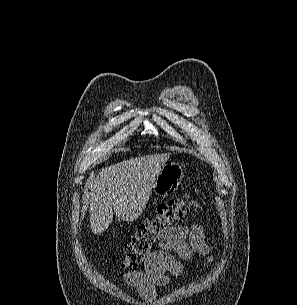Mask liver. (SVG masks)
<instances>
[{"instance_id": "1", "label": "liver", "mask_w": 297, "mask_h": 305, "mask_svg": "<svg viewBox=\"0 0 297 305\" xmlns=\"http://www.w3.org/2000/svg\"><path fill=\"white\" fill-rule=\"evenodd\" d=\"M169 157V154L135 157L102 170L91 186V231L103 233L113 220V209L121 220L127 222L141 216L152 186Z\"/></svg>"}]
</instances>
